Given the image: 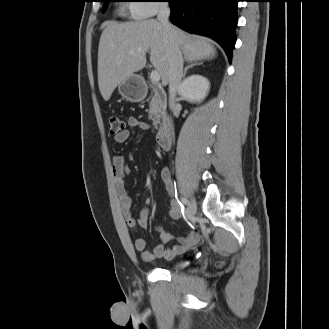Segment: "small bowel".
Here are the masks:
<instances>
[{
  "label": "small bowel",
  "mask_w": 329,
  "mask_h": 329,
  "mask_svg": "<svg viewBox=\"0 0 329 329\" xmlns=\"http://www.w3.org/2000/svg\"><path fill=\"white\" fill-rule=\"evenodd\" d=\"M129 129L138 130H150V124L138 120L136 117H129L127 120ZM125 129L123 132L115 135L114 140L116 143H125L130 136V130ZM113 176L115 180V189L118 197V202L122 215L132 230H137L138 227L145 228L148 225L149 216L151 210L149 208H143L137 218H134L131 213L132 200L125 186V179L129 174V168L125 162V158L122 155H116L113 158ZM161 179L166 187V190L172 194L174 191L173 182L170 173L167 169H162L160 173ZM181 216V208L178 202L171 198L169 201V217L171 219H178ZM159 243L152 251L146 250V241L143 238H136L134 240V249L141 254V258L146 261H154L156 259L171 260L176 256L183 254L196 246L198 243V236L195 233H189L185 236L177 238V244L169 247L168 244L173 239V236L159 228Z\"/></svg>",
  "instance_id": "small-bowel-1"
}]
</instances>
